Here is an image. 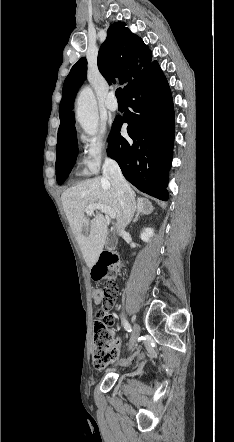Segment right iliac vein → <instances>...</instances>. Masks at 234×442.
Listing matches in <instances>:
<instances>
[{
    "mask_svg": "<svg viewBox=\"0 0 234 442\" xmlns=\"http://www.w3.org/2000/svg\"><path fill=\"white\" fill-rule=\"evenodd\" d=\"M139 334H140V327L139 325L134 324L131 334V339L129 342V350L133 349V347L136 345Z\"/></svg>",
    "mask_w": 234,
    "mask_h": 442,
    "instance_id": "right-iliac-vein-1",
    "label": "right iliac vein"
}]
</instances>
